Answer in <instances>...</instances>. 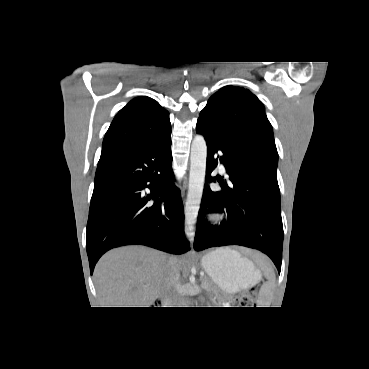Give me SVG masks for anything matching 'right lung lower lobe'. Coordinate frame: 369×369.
Here are the masks:
<instances>
[{
  "label": "right lung lower lobe",
  "mask_w": 369,
  "mask_h": 369,
  "mask_svg": "<svg viewBox=\"0 0 369 369\" xmlns=\"http://www.w3.org/2000/svg\"><path fill=\"white\" fill-rule=\"evenodd\" d=\"M170 134L98 163L86 236L91 274L99 258L119 246L146 245L173 254L189 250Z\"/></svg>",
  "instance_id": "obj_1"
}]
</instances>
